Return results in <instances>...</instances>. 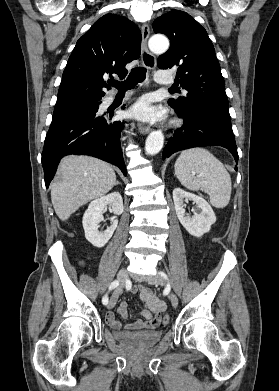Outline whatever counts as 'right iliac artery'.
Wrapping results in <instances>:
<instances>
[{
	"mask_svg": "<svg viewBox=\"0 0 279 391\" xmlns=\"http://www.w3.org/2000/svg\"><path fill=\"white\" fill-rule=\"evenodd\" d=\"M118 281H113L111 284H110V286H109V290H112V289H114V288H116L117 286H118ZM102 303L104 304V305H107L108 304V296L107 295H105L104 297H103V299H102Z\"/></svg>",
	"mask_w": 279,
	"mask_h": 391,
	"instance_id": "obj_1",
	"label": "right iliac artery"
}]
</instances>
